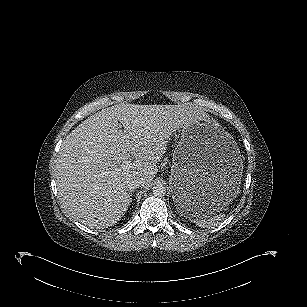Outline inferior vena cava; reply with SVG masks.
Instances as JSON below:
<instances>
[{"instance_id":"obj_1","label":"inferior vena cava","mask_w":307,"mask_h":307,"mask_svg":"<svg viewBox=\"0 0 307 307\" xmlns=\"http://www.w3.org/2000/svg\"><path fill=\"white\" fill-rule=\"evenodd\" d=\"M142 180L139 178H132L127 182V188L132 191L142 186Z\"/></svg>"}]
</instances>
